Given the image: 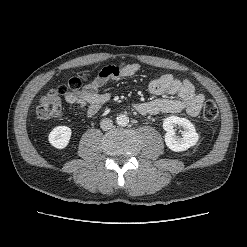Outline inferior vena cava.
Masks as SVG:
<instances>
[{
    "label": "inferior vena cava",
    "instance_id": "inferior-vena-cava-1",
    "mask_svg": "<svg viewBox=\"0 0 247 247\" xmlns=\"http://www.w3.org/2000/svg\"><path fill=\"white\" fill-rule=\"evenodd\" d=\"M100 127L102 130L107 131L113 127V122L109 118H104L100 122Z\"/></svg>",
    "mask_w": 247,
    "mask_h": 247
}]
</instances>
